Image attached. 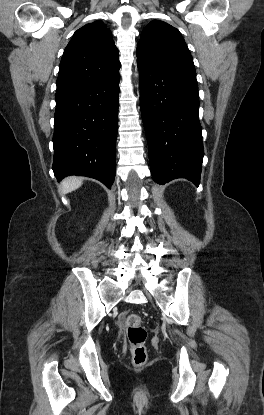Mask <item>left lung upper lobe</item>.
Here are the masks:
<instances>
[{
  "label": "left lung upper lobe",
  "instance_id": "left-lung-upper-lobe-1",
  "mask_svg": "<svg viewBox=\"0 0 264 415\" xmlns=\"http://www.w3.org/2000/svg\"><path fill=\"white\" fill-rule=\"evenodd\" d=\"M137 62L154 69L196 77L190 51L178 29L153 20L142 31Z\"/></svg>",
  "mask_w": 264,
  "mask_h": 415
}]
</instances>
